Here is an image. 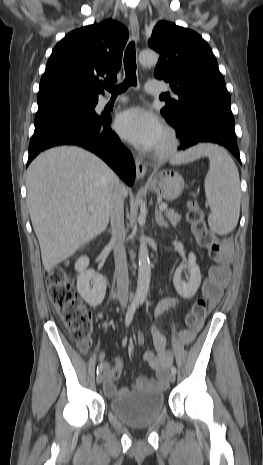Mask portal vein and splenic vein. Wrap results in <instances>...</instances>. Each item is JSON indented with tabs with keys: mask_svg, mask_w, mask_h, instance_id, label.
I'll return each mask as SVG.
<instances>
[{
	"mask_svg": "<svg viewBox=\"0 0 263 465\" xmlns=\"http://www.w3.org/2000/svg\"><path fill=\"white\" fill-rule=\"evenodd\" d=\"M159 209L162 210V211L166 210L167 209V204H164V203L160 204ZM89 210H93V208L89 207Z\"/></svg>",
	"mask_w": 263,
	"mask_h": 465,
	"instance_id": "obj_1",
	"label": "portal vein and splenic vein"
}]
</instances>
